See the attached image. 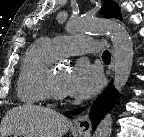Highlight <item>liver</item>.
<instances>
[{
  "mask_svg": "<svg viewBox=\"0 0 144 137\" xmlns=\"http://www.w3.org/2000/svg\"><path fill=\"white\" fill-rule=\"evenodd\" d=\"M71 126L70 120L48 107L26 104L10 109L2 119L0 133L30 137H63Z\"/></svg>",
  "mask_w": 144,
  "mask_h": 137,
  "instance_id": "1",
  "label": "liver"
}]
</instances>
